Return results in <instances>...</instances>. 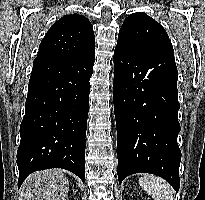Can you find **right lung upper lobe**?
I'll return each instance as SVG.
<instances>
[{"instance_id": "right-lung-upper-lobe-1", "label": "right lung upper lobe", "mask_w": 205, "mask_h": 200, "mask_svg": "<svg viewBox=\"0 0 205 200\" xmlns=\"http://www.w3.org/2000/svg\"><path fill=\"white\" fill-rule=\"evenodd\" d=\"M95 37L90 21L78 14L63 16L46 33L37 58L73 59L94 51Z\"/></svg>"}]
</instances>
